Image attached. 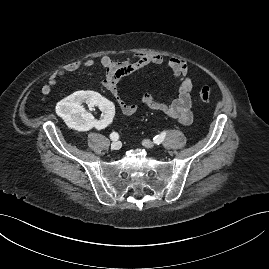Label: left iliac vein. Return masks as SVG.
Here are the masks:
<instances>
[{"instance_id": "4c4485c4", "label": "left iliac vein", "mask_w": 269, "mask_h": 269, "mask_svg": "<svg viewBox=\"0 0 269 269\" xmlns=\"http://www.w3.org/2000/svg\"><path fill=\"white\" fill-rule=\"evenodd\" d=\"M142 143H143V145H144L145 147H147V148H152V147H154V144H153L151 141H149V140H144Z\"/></svg>"}]
</instances>
